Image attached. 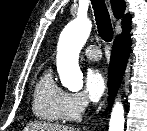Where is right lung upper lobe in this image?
I'll use <instances>...</instances> for the list:
<instances>
[{"mask_svg":"<svg viewBox=\"0 0 147 131\" xmlns=\"http://www.w3.org/2000/svg\"><path fill=\"white\" fill-rule=\"evenodd\" d=\"M111 5H112V9H113L115 17L118 19L123 17L122 35L128 33L131 28V16L128 14L124 15L125 8H126L124 0H111Z\"/></svg>","mask_w":147,"mask_h":131,"instance_id":"cb5924a9","label":"right lung upper lobe"}]
</instances>
